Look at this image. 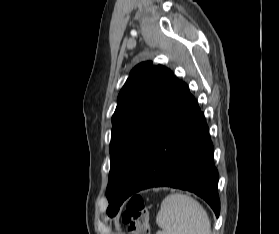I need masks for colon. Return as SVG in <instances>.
I'll list each match as a JSON object with an SVG mask.
<instances>
[{
    "label": "colon",
    "instance_id": "obj_1",
    "mask_svg": "<svg viewBox=\"0 0 279 234\" xmlns=\"http://www.w3.org/2000/svg\"><path fill=\"white\" fill-rule=\"evenodd\" d=\"M122 220L127 225V234H149V211L141 196L135 195L128 200Z\"/></svg>",
    "mask_w": 279,
    "mask_h": 234
}]
</instances>
